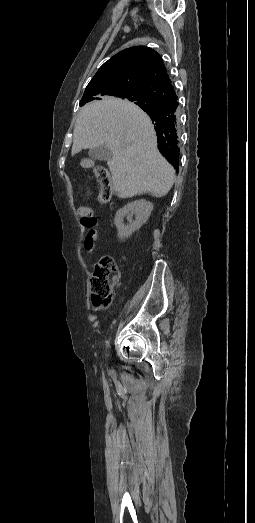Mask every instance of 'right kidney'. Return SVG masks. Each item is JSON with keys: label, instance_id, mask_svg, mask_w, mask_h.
<instances>
[{"label": "right kidney", "instance_id": "obj_1", "mask_svg": "<svg viewBox=\"0 0 255 523\" xmlns=\"http://www.w3.org/2000/svg\"><path fill=\"white\" fill-rule=\"evenodd\" d=\"M152 210L153 204L147 202V200H136V202H131V204H127V206L118 210L114 218V224L118 230L120 240H126L135 230H139L148 220ZM131 214H135L136 220H132ZM124 216H128L129 226H124Z\"/></svg>", "mask_w": 255, "mask_h": 523}]
</instances>
